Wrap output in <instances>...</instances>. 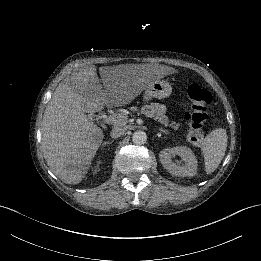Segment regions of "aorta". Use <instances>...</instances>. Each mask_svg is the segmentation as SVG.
I'll use <instances>...</instances> for the list:
<instances>
[{
    "instance_id": "1",
    "label": "aorta",
    "mask_w": 261,
    "mask_h": 261,
    "mask_svg": "<svg viewBox=\"0 0 261 261\" xmlns=\"http://www.w3.org/2000/svg\"><path fill=\"white\" fill-rule=\"evenodd\" d=\"M147 141V135L145 132L143 131H136L133 135H132V142L134 144H145Z\"/></svg>"
}]
</instances>
